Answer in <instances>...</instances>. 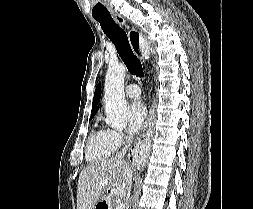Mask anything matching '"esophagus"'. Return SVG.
I'll return each instance as SVG.
<instances>
[{
    "mask_svg": "<svg viewBox=\"0 0 253 209\" xmlns=\"http://www.w3.org/2000/svg\"><path fill=\"white\" fill-rule=\"evenodd\" d=\"M113 15H114V17H115V19H116V21L118 23L122 24L124 22V19L118 13L115 12V13H113ZM128 36H129V39H130V43H131L132 49L135 51L134 48L138 47V50H140V48L142 46V35L139 32H137L135 29H131L128 32ZM154 117H155L154 116V107L152 105L150 107V111H149V120H148V126H149V128L153 125ZM144 136H145V132H143V134L140 135V137H138L135 140L133 146H131V148L129 149L128 158H129V160H131L132 163H134L133 155H134L136 146L139 144L140 140Z\"/></svg>",
    "mask_w": 253,
    "mask_h": 209,
    "instance_id": "34e87169",
    "label": "esophagus"
}]
</instances>
